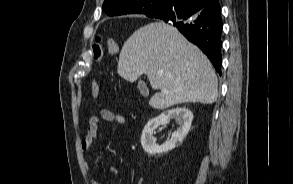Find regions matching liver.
Wrapping results in <instances>:
<instances>
[{"label": "liver", "instance_id": "1", "mask_svg": "<svg viewBox=\"0 0 293 184\" xmlns=\"http://www.w3.org/2000/svg\"><path fill=\"white\" fill-rule=\"evenodd\" d=\"M117 72L129 82L146 74L151 87L161 90L149 101L155 109L188 102L211 104L217 100L218 80L209 59L175 27L164 22L140 27L127 39Z\"/></svg>", "mask_w": 293, "mask_h": 184}]
</instances>
